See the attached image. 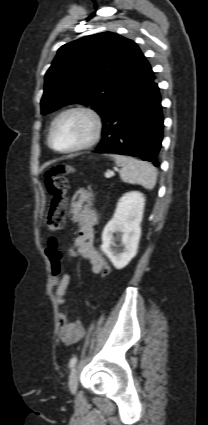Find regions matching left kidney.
I'll return each mask as SVG.
<instances>
[{
  "label": "left kidney",
  "instance_id": "left-kidney-1",
  "mask_svg": "<svg viewBox=\"0 0 208 425\" xmlns=\"http://www.w3.org/2000/svg\"><path fill=\"white\" fill-rule=\"evenodd\" d=\"M144 205L145 197L142 193L137 191L125 193L119 199L113 218L103 230L101 250L116 269H123L137 254ZM118 231L122 233L124 251L116 254L111 246L113 234Z\"/></svg>",
  "mask_w": 208,
  "mask_h": 425
}]
</instances>
